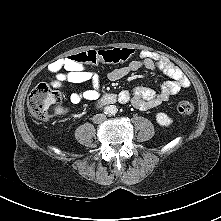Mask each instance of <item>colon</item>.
I'll list each match as a JSON object with an SVG mask.
<instances>
[{
  "instance_id": "obj_1",
  "label": "colon",
  "mask_w": 221,
  "mask_h": 221,
  "mask_svg": "<svg viewBox=\"0 0 221 221\" xmlns=\"http://www.w3.org/2000/svg\"><path fill=\"white\" fill-rule=\"evenodd\" d=\"M135 50L131 48H115L109 50H87L72 55L69 60L75 64L95 66L99 63L116 64L125 62L134 56ZM61 94L41 83L35 86L28 97V108L33 118L38 122H45L57 115L61 109ZM176 110L180 115L189 116L194 111L191 102L180 101Z\"/></svg>"
}]
</instances>
